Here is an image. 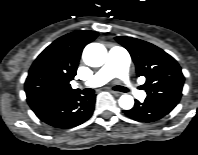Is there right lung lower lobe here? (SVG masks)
I'll use <instances>...</instances> for the list:
<instances>
[{"label": "right lung lower lobe", "mask_w": 198, "mask_h": 155, "mask_svg": "<svg viewBox=\"0 0 198 155\" xmlns=\"http://www.w3.org/2000/svg\"><path fill=\"white\" fill-rule=\"evenodd\" d=\"M95 104V95L71 96L51 100L32 107L37 117L56 128H71L82 124L90 118Z\"/></svg>", "instance_id": "right-lung-lower-lobe-1"}]
</instances>
